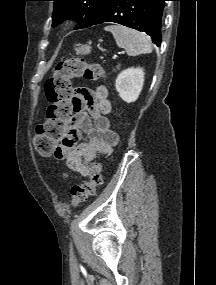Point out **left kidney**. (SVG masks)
<instances>
[{"mask_svg": "<svg viewBox=\"0 0 216 285\" xmlns=\"http://www.w3.org/2000/svg\"><path fill=\"white\" fill-rule=\"evenodd\" d=\"M144 70L142 68H128L122 71L115 82L120 98L131 103L138 99L144 84Z\"/></svg>", "mask_w": 216, "mask_h": 285, "instance_id": "5707ae66", "label": "left kidney"}]
</instances>
